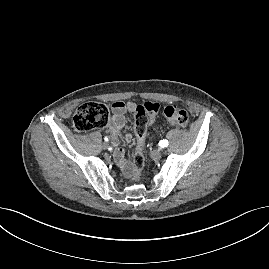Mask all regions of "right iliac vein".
Instances as JSON below:
<instances>
[{
    "label": "right iliac vein",
    "mask_w": 269,
    "mask_h": 269,
    "mask_svg": "<svg viewBox=\"0 0 269 269\" xmlns=\"http://www.w3.org/2000/svg\"><path fill=\"white\" fill-rule=\"evenodd\" d=\"M109 144L107 142H103L102 148L106 150L108 148Z\"/></svg>",
    "instance_id": "1"
}]
</instances>
